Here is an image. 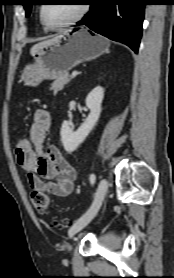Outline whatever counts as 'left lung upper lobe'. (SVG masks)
<instances>
[{"instance_id": "1", "label": "left lung upper lobe", "mask_w": 174, "mask_h": 278, "mask_svg": "<svg viewBox=\"0 0 174 278\" xmlns=\"http://www.w3.org/2000/svg\"><path fill=\"white\" fill-rule=\"evenodd\" d=\"M23 6L26 10V16L28 17L30 15L31 7L34 4L35 0H23Z\"/></svg>"}]
</instances>
